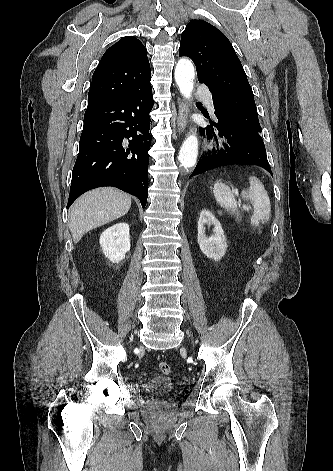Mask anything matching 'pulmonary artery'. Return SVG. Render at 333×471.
<instances>
[{
    "instance_id": "1",
    "label": "pulmonary artery",
    "mask_w": 333,
    "mask_h": 471,
    "mask_svg": "<svg viewBox=\"0 0 333 471\" xmlns=\"http://www.w3.org/2000/svg\"><path fill=\"white\" fill-rule=\"evenodd\" d=\"M197 92L199 95H201L206 102V104L210 107L213 106V100L211 97V94L208 92V90L204 87H198Z\"/></svg>"
}]
</instances>
